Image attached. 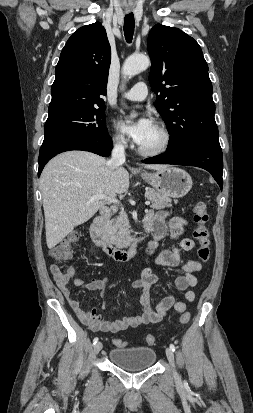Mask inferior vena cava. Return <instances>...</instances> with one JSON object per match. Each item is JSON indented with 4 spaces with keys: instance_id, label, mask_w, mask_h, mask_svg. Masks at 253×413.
Masks as SVG:
<instances>
[{
    "instance_id": "obj_1",
    "label": "inferior vena cava",
    "mask_w": 253,
    "mask_h": 413,
    "mask_svg": "<svg viewBox=\"0 0 253 413\" xmlns=\"http://www.w3.org/2000/svg\"><path fill=\"white\" fill-rule=\"evenodd\" d=\"M125 162L124 153V141L119 140L114 144L111 153V159L108 161V165L111 169L116 170Z\"/></svg>"
}]
</instances>
